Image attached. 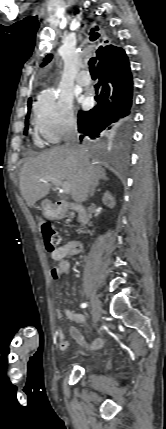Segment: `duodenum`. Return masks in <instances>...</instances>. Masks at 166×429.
<instances>
[{
  "label": "duodenum",
  "instance_id": "410a0bca",
  "mask_svg": "<svg viewBox=\"0 0 166 429\" xmlns=\"http://www.w3.org/2000/svg\"><path fill=\"white\" fill-rule=\"evenodd\" d=\"M57 217H64L70 210H75L79 215L81 230L84 231L90 222L88 210L80 204H70L66 201L59 200L53 205Z\"/></svg>",
  "mask_w": 166,
  "mask_h": 429
}]
</instances>
